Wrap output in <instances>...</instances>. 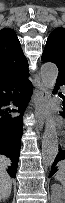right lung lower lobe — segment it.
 <instances>
[{"mask_svg":"<svg viewBox=\"0 0 65 203\" xmlns=\"http://www.w3.org/2000/svg\"><path fill=\"white\" fill-rule=\"evenodd\" d=\"M28 76L0 84V154L11 159L12 165L7 172L12 177L16 176L20 156L23 113L32 95ZM12 100L15 108H4Z\"/></svg>","mask_w":65,"mask_h":203,"instance_id":"98d812e1","label":"right lung lower lobe"}]
</instances>
